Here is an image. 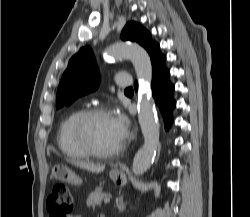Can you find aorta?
<instances>
[{
	"instance_id": "aorta-1",
	"label": "aorta",
	"mask_w": 250,
	"mask_h": 217,
	"mask_svg": "<svg viewBox=\"0 0 250 217\" xmlns=\"http://www.w3.org/2000/svg\"><path fill=\"white\" fill-rule=\"evenodd\" d=\"M107 57L129 58L140 81L138 95V120L144 137V144L134 156L132 170L141 175L149 169L159 143V124L154 103L149 93L152 80V65L147 51L135 43H116L105 50Z\"/></svg>"
}]
</instances>
